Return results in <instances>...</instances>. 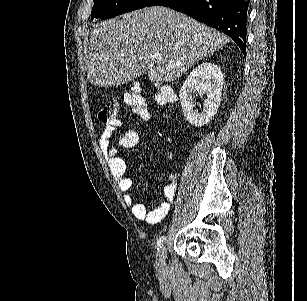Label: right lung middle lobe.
<instances>
[{"label": "right lung middle lobe", "mask_w": 307, "mask_h": 301, "mask_svg": "<svg viewBox=\"0 0 307 301\" xmlns=\"http://www.w3.org/2000/svg\"><path fill=\"white\" fill-rule=\"evenodd\" d=\"M151 0H94L91 17L112 18L145 7Z\"/></svg>", "instance_id": "obj_1"}]
</instances>
